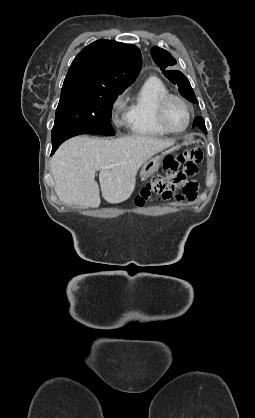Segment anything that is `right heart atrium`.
I'll use <instances>...</instances> for the list:
<instances>
[{"mask_svg":"<svg viewBox=\"0 0 255 418\" xmlns=\"http://www.w3.org/2000/svg\"><path fill=\"white\" fill-rule=\"evenodd\" d=\"M124 108V100L122 95H118L111 104V118L114 124L121 125L122 119L120 118V113Z\"/></svg>","mask_w":255,"mask_h":418,"instance_id":"obj_1","label":"right heart atrium"}]
</instances>
